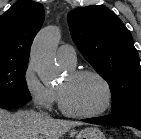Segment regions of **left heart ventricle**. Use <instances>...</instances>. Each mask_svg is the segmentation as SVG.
<instances>
[{
    "mask_svg": "<svg viewBox=\"0 0 141 139\" xmlns=\"http://www.w3.org/2000/svg\"><path fill=\"white\" fill-rule=\"evenodd\" d=\"M67 105L81 113L96 112L106 101V91L102 83L92 76L71 79L67 75L59 84Z\"/></svg>",
    "mask_w": 141,
    "mask_h": 139,
    "instance_id": "1",
    "label": "left heart ventricle"
}]
</instances>
